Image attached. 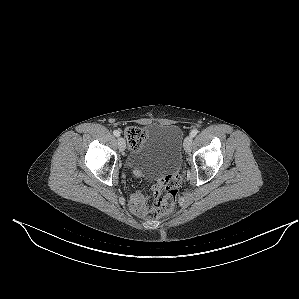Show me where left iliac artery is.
I'll return each instance as SVG.
<instances>
[{
  "mask_svg": "<svg viewBox=\"0 0 299 299\" xmlns=\"http://www.w3.org/2000/svg\"><path fill=\"white\" fill-rule=\"evenodd\" d=\"M197 133H198V130H197V129H193V130L191 131L190 135H191L192 137H195V136L197 135Z\"/></svg>",
  "mask_w": 299,
  "mask_h": 299,
  "instance_id": "1",
  "label": "left iliac artery"
}]
</instances>
